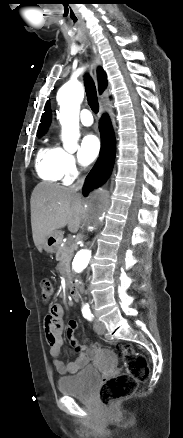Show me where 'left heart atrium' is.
I'll return each mask as SVG.
<instances>
[{
  "instance_id": "obj_1",
  "label": "left heart atrium",
  "mask_w": 183,
  "mask_h": 438,
  "mask_svg": "<svg viewBox=\"0 0 183 438\" xmlns=\"http://www.w3.org/2000/svg\"><path fill=\"white\" fill-rule=\"evenodd\" d=\"M101 144L98 137L94 134H87L81 144V157L84 163L93 162L99 152Z\"/></svg>"
}]
</instances>
